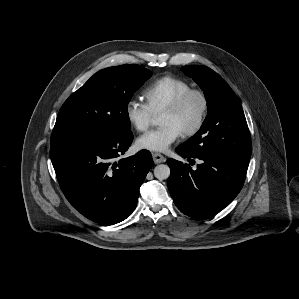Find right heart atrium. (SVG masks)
<instances>
[{"label": "right heart atrium", "instance_id": "right-heart-atrium-1", "mask_svg": "<svg viewBox=\"0 0 299 299\" xmlns=\"http://www.w3.org/2000/svg\"><path fill=\"white\" fill-rule=\"evenodd\" d=\"M124 113L128 123L139 132L147 130L153 118V113L148 106L135 99L127 101Z\"/></svg>", "mask_w": 299, "mask_h": 299}]
</instances>
